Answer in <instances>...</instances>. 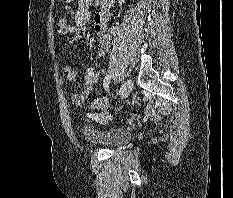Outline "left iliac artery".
<instances>
[{"label":"left iliac artery","mask_w":233,"mask_h":198,"mask_svg":"<svg viewBox=\"0 0 233 198\" xmlns=\"http://www.w3.org/2000/svg\"><path fill=\"white\" fill-rule=\"evenodd\" d=\"M111 77H112V74L109 73L104 78L103 85H104V87H105L106 90H108V88H109V83H110Z\"/></svg>","instance_id":"obj_1"}]
</instances>
